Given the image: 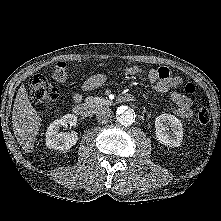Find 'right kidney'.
I'll use <instances>...</instances> for the list:
<instances>
[{
	"instance_id": "obj_1",
	"label": "right kidney",
	"mask_w": 221,
	"mask_h": 221,
	"mask_svg": "<svg viewBox=\"0 0 221 221\" xmlns=\"http://www.w3.org/2000/svg\"><path fill=\"white\" fill-rule=\"evenodd\" d=\"M77 116L66 114L60 119L52 122L46 132V146L54 150H67L74 146L78 141V134L75 131L60 132L61 127L68 125L76 126Z\"/></svg>"
}]
</instances>
